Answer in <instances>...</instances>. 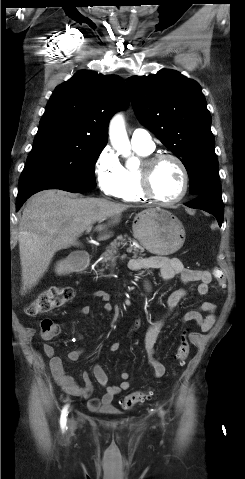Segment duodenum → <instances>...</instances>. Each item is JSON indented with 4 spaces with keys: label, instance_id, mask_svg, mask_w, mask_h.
Returning <instances> with one entry per match:
<instances>
[{
    "label": "duodenum",
    "instance_id": "410a0bca",
    "mask_svg": "<svg viewBox=\"0 0 245 479\" xmlns=\"http://www.w3.org/2000/svg\"><path fill=\"white\" fill-rule=\"evenodd\" d=\"M73 268L76 270H82L89 265V257L86 255L78 256L72 259Z\"/></svg>",
    "mask_w": 245,
    "mask_h": 479
}]
</instances>
